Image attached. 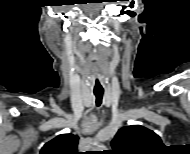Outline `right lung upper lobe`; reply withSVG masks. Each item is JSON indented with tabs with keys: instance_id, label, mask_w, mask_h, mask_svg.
I'll use <instances>...</instances> for the list:
<instances>
[{
	"instance_id": "obj_1",
	"label": "right lung upper lobe",
	"mask_w": 190,
	"mask_h": 154,
	"mask_svg": "<svg viewBox=\"0 0 190 154\" xmlns=\"http://www.w3.org/2000/svg\"><path fill=\"white\" fill-rule=\"evenodd\" d=\"M78 136L73 134H61L46 143L40 154H78Z\"/></svg>"
}]
</instances>
